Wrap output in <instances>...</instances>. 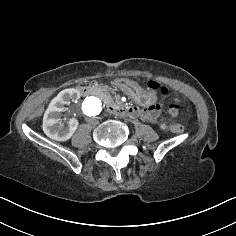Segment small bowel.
Returning <instances> with one entry per match:
<instances>
[{
	"instance_id": "small-bowel-1",
	"label": "small bowel",
	"mask_w": 236,
	"mask_h": 236,
	"mask_svg": "<svg viewBox=\"0 0 236 236\" xmlns=\"http://www.w3.org/2000/svg\"><path fill=\"white\" fill-rule=\"evenodd\" d=\"M143 117L150 121H156L159 118V108L158 106H150L142 111Z\"/></svg>"
}]
</instances>
